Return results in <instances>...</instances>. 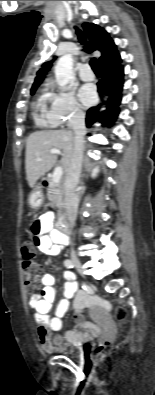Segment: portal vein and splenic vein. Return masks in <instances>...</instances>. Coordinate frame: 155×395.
I'll use <instances>...</instances> for the list:
<instances>
[{
	"label": "portal vein and splenic vein",
	"instance_id": "portal-vein-and-splenic-vein-1",
	"mask_svg": "<svg viewBox=\"0 0 155 395\" xmlns=\"http://www.w3.org/2000/svg\"><path fill=\"white\" fill-rule=\"evenodd\" d=\"M51 154H61V151L59 149H51L50 150ZM63 174V168L62 167H57L55 168L54 172H53V176H52V180L55 183H58L62 177Z\"/></svg>",
	"mask_w": 155,
	"mask_h": 395
}]
</instances>
